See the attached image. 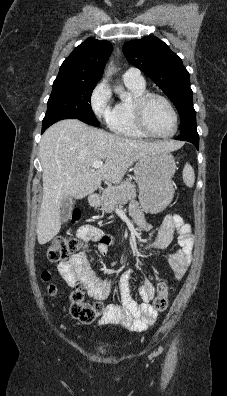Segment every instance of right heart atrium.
<instances>
[{"mask_svg": "<svg viewBox=\"0 0 227 396\" xmlns=\"http://www.w3.org/2000/svg\"><path fill=\"white\" fill-rule=\"evenodd\" d=\"M111 92L105 82L98 83L90 95V106L100 120L108 119L111 112Z\"/></svg>", "mask_w": 227, "mask_h": 396, "instance_id": "1", "label": "right heart atrium"}]
</instances>
